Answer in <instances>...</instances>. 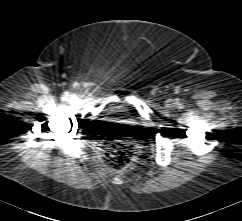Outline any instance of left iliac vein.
<instances>
[{"label": "left iliac vein", "instance_id": "1", "mask_svg": "<svg viewBox=\"0 0 242 221\" xmlns=\"http://www.w3.org/2000/svg\"><path fill=\"white\" fill-rule=\"evenodd\" d=\"M167 103H168V105H172V104H173V101H172L171 99H169V100L167 101Z\"/></svg>", "mask_w": 242, "mask_h": 221}]
</instances>
